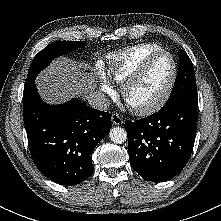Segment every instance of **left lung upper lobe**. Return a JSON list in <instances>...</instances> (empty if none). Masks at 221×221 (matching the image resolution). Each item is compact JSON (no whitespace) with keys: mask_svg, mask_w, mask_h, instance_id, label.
<instances>
[{"mask_svg":"<svg viewBox=\"0 0 221 221\" xmlns=\"http://www.w3.org/2000/svg\"><path fill=\"white\" fill-rule=\"evenodd\" d=\"M184 98H197V89L193 64L188 55L180 50L176 81L168 101L162 108Z\"/></svg>","mask_w":221,"mask_h":221,"instance_id":"5c2ea615","label":"left lung upper lobe"}]
</instances>
